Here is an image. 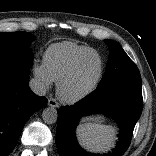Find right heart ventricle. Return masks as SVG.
I'll return each mask as SVG.
<instances>
[{
  "instance_id": "obj_1",
  "label": "right heart ventricle",
  "mask_w": 156,
  "mask_h": 156,
  "mask_svg": "<svg viewBox=\"0 0 156 156\" xmlns=\"http://www.w3.org/2000/svg\"><path fill=\"white\" fill-rule=\"evenodd\" d=\"M95 51L91 47L73 42L51 45L44 53L43 64L53 82H59L84 53Z\"/></svg>"
}]
</instances>
